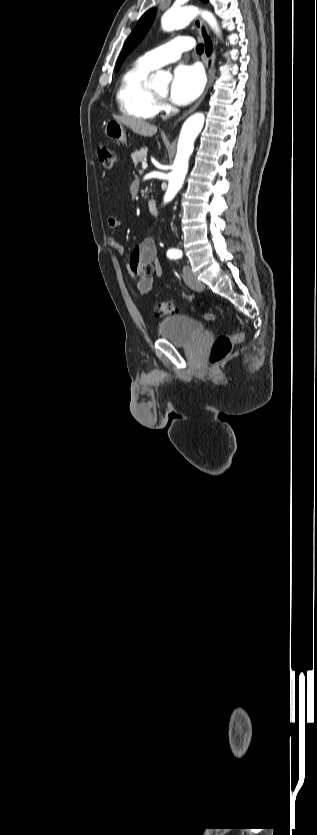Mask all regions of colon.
Segmentation results:
<instances>
[{"label":"colon","instance_id":"obj_1","mask_svg":"<svg viewBox=\"0 0 317 835\" xmlns=\"http://www.w3.org/2000/svg\"><path fill=\"white\" fill-rule=\"evenodd\" d=\"M98 157L104 169L111 170L115 164V153L106 145L98 147ZM140 271L144 274L151 275L153 273V265L144 262L140 265ZM135 282L138 284L139 278L134 276ZM175 312V306L171 301H159L155 305L156 316H166ZM204 318L209 321L215 320V315L212 313L204 314ZM244 334L242 332L231 335L218 336L210 350L209 362L213 365L222 362L232 351L233 346L242 341Z\"/></svg>","mask_w":317,"mask_h":835}]
</instances>
